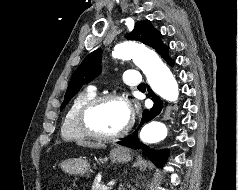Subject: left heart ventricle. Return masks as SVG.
Wrapping results in <instances>:
<instances>
[{"mask_svg": "<svg viewBox=\"0 0 238 190\" xmlns=\"http://www.w3.org/2000/svg\"><path fill=\"white\" fill-rule=\"evenodd\" d=\"M129 119V109L121 101L110 100L100 105L91 117L92 125L102 133L112 134L121 130Z\"/></svg>", "mask_w": 238, "mask_h": 190, "instance_id": "left-heart-ventricle-1", "label": "left heart ventricle"}]
</instances>
